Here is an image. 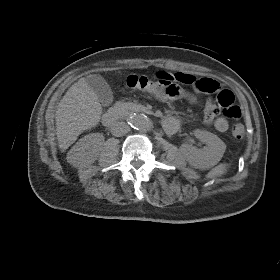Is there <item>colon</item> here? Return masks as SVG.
<instances>
[{
	"label": "colon",
	"mask_w": 280,
	"mask_h": 280,
	"mask_svg": "<svg viewBox=\"0 0 280 280\" xmlns=\"http://www.w3.org/2000/svg\"><path fill=\"white\" fill-rule=\"evenodd\" d=\"M125 85L128 88L147 92L157 98L165 100H176L183 98V81L179 74H169L159 72L153 79L145 76L131 75L126 78ZM203 93L212 94L219 91V86L215 82L209 81L204 88H200ZM222 113L231 119L241 117V109L235 104V98L231 91L222 90L218 92L216 101L212 104V109L207 119H213ZM245 133L244 126L236 123L232 128L234 139L240 140Z\"/></svg>",
	"instance_id": "1"
}]
</instances>
